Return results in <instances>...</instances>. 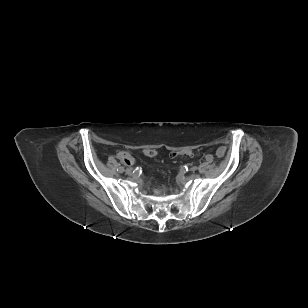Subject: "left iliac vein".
I'll return each instance as SVG.
<instances>
[{
	"mask_svg": "<svg viewBox=\"0 0 308 308\" xmlns=\"http://www.w3.org/2000/svg\"><path fill=\"white\" fill-rule=\"evenodd\" d=\"M192 172H195L196 170H197V167L196 166H193V167H191V169H190Z\"/></svg>",
	"mask_w": 308,
	"mask_h": 308,
	"instance_id": "left-iliac-vein-1",
	"label": "left iliac vein"
}]
</instances>
